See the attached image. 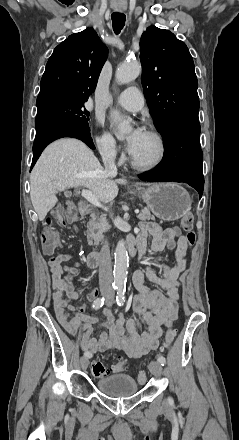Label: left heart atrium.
Instances as JSON below:
<instances>
[{
    "mask_svg": "<svg viewBox=\"0 0 239 440\" xmlns=\"http://www.w3.org/2000/svg\"><path fill=\"white\" fill-rule=\"evenodd\" d=\"M144 134H145V131L143 130V128L140 127L138 124H135V126H134L133 130L131 131V133L129 134V136L127 138V142H126L127 150L131 154H133L134 151L136 150L138 143Z\"/></svg>",
    "mask_w": 239,
    "mask_h": 440,
    "instance_id": "obj_1",
    "label": "left heart atrium"
}]
</instances>
